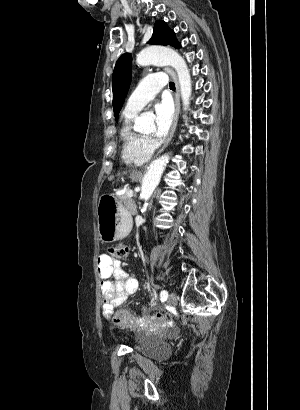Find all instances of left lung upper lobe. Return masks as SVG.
Listing matches in <instances>:
<instances>
[{
	"label": "left lung upper lobe",
	"mask_w": 300,
	"mask_h": 410,
	"mask_svg": "<svg viewBox=\"0 0 300 410\" xmlns=\"http://www.w3.org/2000/svg\"><path fill=\"white\" fill-rule=\"evenodd\" d=\"M148 43L164 46L171 45L175 48H180V44L175 37L174 31L171 30L164 21H156L153 35ZM131 62V55L129 53H125L119 57L114 68L112 76V89L113 108L116 121L131 83Z\"/></svg>",
	"instance_id": "1"
}]
</instances>
